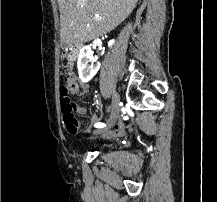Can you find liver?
I'll return each instance as SVG.
<instances>
[{"label": "liver", "mask_w": 217, "mask_h": 202, "mask_svg": "<svg viewBox=\"0 0 217 202\" xmlns=\"http://www.w3.org/2000/svg\"><path fill=\"white\" fill-rule=\"evenodd\" d=\"M137 2L138 0H58L61 42L82 44L108 34L130 16ZM96 14L101 20H94Z\"/></svg>", "instance_id": "1"}]
</instances>
